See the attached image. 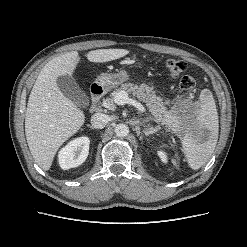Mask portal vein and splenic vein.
<instances>
[{
	"label": "portal vein and splenic vein",
	"mask_w": 247,
	"mask_h": 247,
	"mask_svg": "<svg viewBox=\"0 0 247 247\" xmlns=\"http://www.w3.org/2000/svg\"><path fill=\"white\" fill-rule=\"evenodd\" d=\"M114 102L118 105L132 104L141 112H145L146 109L143 105L136 102L135 100L128 97V93L125 91H120L115 95Z\"/></svg>",
	"instance_id": "1"
}]
</instances>
